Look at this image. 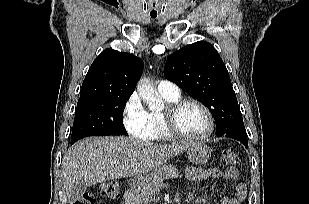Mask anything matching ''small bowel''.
I'll list each match as a JSON object with an SVG mask.
<instances>
[{
    "mask_svg": "<svg viewBox=\"0 0 309 204\" xmlns=\"http://www.w3.org/2000/svg\"><path fill=\"white\" fill-rule=\"evenodd\" d=\"M188 177L192 181L205 180L208 178H218L223 180L238 181L239 180V169L236 167H229L225 170L219 168H190L187 171ZM247 196L246 185L239 182L235 188V195L233 197H225L222 200V204H241Z\"/></svg>",
    "mask_w": 309,
    "mask_h": 204,
    "instance_id": "1",
    "label": "small bowel"
}]
</instances>
